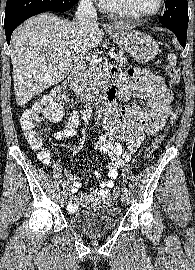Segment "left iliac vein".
<instances>
[{"mask_svg":"<svg viewBox=\"0 0 195 270\" xmlns=\"http://www.w3.org/2000/svg\"><path fill=\"white\" fill-rule=\"evenodd\" d=\"M121 200L125 205H128L129 204V196H128V194L123 193L122 196H121Z\"/></svg>","mask_w":195,"mask_h":270,"instance_id":"left-iliac-vein-1","label":"left iliac vein"}]
</instances>
